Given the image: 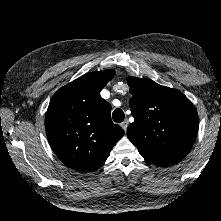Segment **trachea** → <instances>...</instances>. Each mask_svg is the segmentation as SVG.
Returning <instances> with one entry per match:
<instances>
[{"label":"trachea","mask_w":221,"mask_h":221,"mask_svg":"<svg viewBox=\"0 0 221 221\" xmlns=\"http://www.w3.org/2000/svg\"><path fill=\"white\" fill-rule=\"evenodd\" d=\"M112 118H113V121L116 123L123 122L125 115H124V112L122 111V109H120V108L115 109L112 114Z\"/></svg>","instance_id":"obj_1"}]
</instances>
